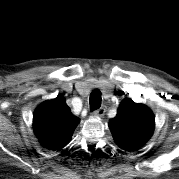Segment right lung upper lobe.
<instances>
[{
	"label": "right lung upper lobe",
	"instance_id": "right-lung-upper-lobe-1",
	"mask_svg": "<svg viewBox=\"0 0 179 179\" xmlns=\"http://www.w3.org/2000/svg\"><path fill=\"white\" fill-rule=\"evenodd\" d=\"M80 122L66 104L63 96L43 102L33 116L34 133L40 143L51 150L64 148Z\"/></svg>",
	"mask_w": 179,
	"mask_h": 179
}]
</instances>
